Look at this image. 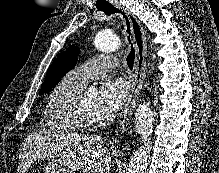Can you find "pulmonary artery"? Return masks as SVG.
<instances>
[{"instance_id":"e3ab8cb5","label":"pulmonary artery","mask_w":219,"mask_h":173,"mask_svg":"<svg viewBox=\"0 0 219 173\" xmlns=\"http://www.w3.org/2000/svg\"><path fill=\"white\" fill-rule=\"evenodd\" d=\"M117 62L114 57L95 55L71 70L66 77L71 82L83 87L90 79L106 75Z\"/></svg>"}]
</instances>
